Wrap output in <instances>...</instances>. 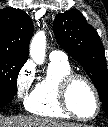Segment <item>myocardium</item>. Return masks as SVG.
I'll list each match as a JSON object with an SVG mask.
<instances>
[{
	"label": "myocardium",
	"mask_w": 108,
	"mask_h": 127,
	"mask_svg": "<svg viewBox=\"0 0 108 127\" xmlns=\"http://www.w3.org/2000/svg\"><path fill=\"white\" fill-rule=\"evenodd\" d=\"M77 81H82L83 83H85L94 94V97L96 100V108H95L94 113L89 117H83V116L79 115L77 112H75V110L71 106L70 92H71L73 85ZM59 100H60V104H61L62 108L70 116H72L76 119L82 120V121H89V120L94 119L98 115V113L100 111V107H101L100 95H99V92H98L96 86L88 77H86L83 74H79V73L71 72L70 74L66 75L61 80L60 86H59Z\"/></svg>",
	"instance_id": "f54148a6"
}]
</instances>
